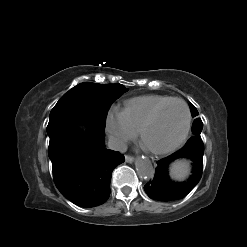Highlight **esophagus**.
<instances>
[{
    "instance_id": "34e87169",
    "label": "esophagus",
    "mask_w": 247,
    "mask_h": 247,
    "mask_svg": "<svg viewBox=\"0 0 247 247\" xmlns=\"http://www.w3.org/2000/svg\"><path fill=\"white\" fill-rule=\"evenodd\" d=\"M125 160L127 163H132L134 161V157L130 155H126Z\"/></svg>"
}]
</instances>
